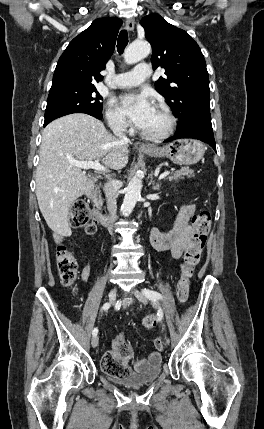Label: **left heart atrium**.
Segmentation results:
<instances>
[{"label":"left heart atrium","instance_id":"39dd6f15","mask_svg":"<svg viewBox=\"0 0 264 429\" xmlns=\"http://www.w3.org/2000/svg\"><path fill=\"white\" fill-rule=\"evenodd\" d=\"M120 110L130 121L141 128L151 115L154 107L147 94H126L120 98Z\"/></svg>","mask_w":264,"mask_h":429}]
</instances>
